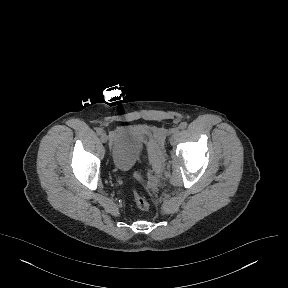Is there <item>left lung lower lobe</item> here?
<instances>
[{
	"instance_id": "1",
	"label": "left lung lower lobe",
	"mask_w": 288,
	"mask_h": 288,
	"mask_svg": "<svg viewBox=\"0 0 288 288\" xmlns=\"http://www.w3.org/2000/svg\"><path fill=\"white\" fill-rule=\"evenodd\" d=\"M267 207V203L264 200V198L260 197L259 200L256 202L252 210L250 211L249 215H251L255 211H259V215L256 217V219L250 224V226L258 230L262 228L264 221H265V209Z\"/></svg>"
}]
</instances>
